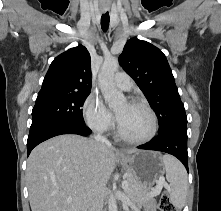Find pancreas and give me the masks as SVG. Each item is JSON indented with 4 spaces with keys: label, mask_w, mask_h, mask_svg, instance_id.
Masks as SVG:
<instances>
[{
    "label": "pancreas",
    "mask_w": 221,
    "mask_h": 211,
    "mask_svg": "<svg viewBox=\"0 0 221 211\" xmlns=\"http://www.w3.org/2000/svg\"><path fill=\"white\" fill-rule=\"evenodd\" d=\"M128 187L125 194L130 201V206H145L153 203L154 200L150 197L152 190H144L143 187L131 178H127Z\"/></svg>",
    "instance_id": "1"
}]
</instances>
